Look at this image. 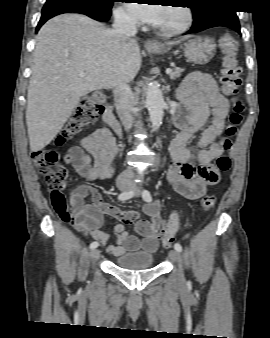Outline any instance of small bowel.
<instances>
[{"instance_id":"small-bowel-1","label":"small bowel","mask_w":270,"mask_h":338,"mask_svg":"<svg viewBox=\"0 0 270 338\" xmlns=\"http://www.w3.org/2000/svg\"><path fill=\"white\" fill-rule=\"evenodd\" d=\"M176 97L184 109L180 110L175 120L180 132L171 144L173 163L168 172V180L179 195L189 200H199L207 194L208 187L215 185L219 179L211 163L224 152L222 135L230 104L212 77L200 72L187 75L177 89ZM198 135L199 149L195 152L187 144ZM117 153L116 140L111 131L107 127H101L83 137L80 146L71 147L65 155V161L72 164L81 177L106 180L113 173ZM60 204L69 216L67 220L100 242L110 254L139 250L153 253L157 249L162 225L158 202L145 204L143 213L147 218L140 220L136 211L104 203L98 190L85 183L73 188L68 198L62 197ZM103 213L122 221L114 228L117 245L109 243L110 235L101 230ZM131 223L136 224L139 236L131 235L126 230L124 224Z\"/></svg>"}]
</instances>
